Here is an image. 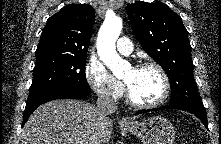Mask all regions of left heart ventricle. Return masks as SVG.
Returning <instances> with one entry per match:
<instances>
[{"instance_id":"b2bd125f","label":"left heart ventricle","mask_w":221,"mask_h":144,"mask_svg":"<svg viewBox=\"0 0 221 144\" xmlns=\"http://www.w3.org/2000/svg\"><path fill=\"white\" fill-rule=\"evenodd\" d=\"M133 97L143 103L156 101L162 94L163 83L159 73L153 68L129 69L125 76Z\"/></svg>"}]
</instances>
